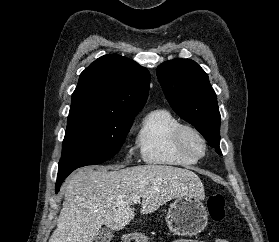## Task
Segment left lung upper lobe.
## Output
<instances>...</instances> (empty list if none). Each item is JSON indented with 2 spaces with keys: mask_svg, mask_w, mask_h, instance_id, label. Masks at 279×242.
Returning a JSON list of instances; mask_svg holds the SVG:
<instances>
[{
  "mask_svg": "<svg viewBox=\"0 0 279 242\" xmlns=\"http://www.w3.org/2000/svg\"><path fill=\"white\" fill-rule=\"evenodd\" d=\"M157 77L172 109L222 155L220 113L208 75L193 60L174 59L158 66Z\"/></svg>",
  "mask_w": 279,
  "mask_h": 242,
  "instance_id": "left-lung-upper-lobe-1",
  "label": "left lung upper lobe"
}]
</instances>
